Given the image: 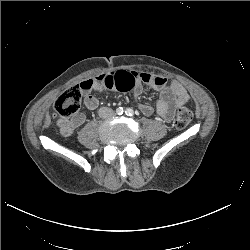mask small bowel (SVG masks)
<instances>
[{
    "label": "small bowel",
    "instance_id": "small-bowel-1",
    "mask_svg": "<svg viewBox=\"0 0 250 250\" xmlns=\"http://www.w3.org/2000/svg\"><path fill=\"white\" fill-rule=\"evenodd\" d=\"M143 84H147L160 92L154 108L147 104H139L140 111L146 116L155 114L159 119L169 122L173 118L175 110L189 100L186 90L176 82L168 81L159 75L135 71H116L100 74L82 81L80 88L85 107L89 110H95L99 105V101L91 92L100 93L104 90L133 91L134 96L139 98L143 91ZM85 120V115L79 112L69 119H59L57 125L61 135L68 137L82 126Z\"/></svg>",
    "mask_w": 250,
    "mask_h": 250
}]
</instances>
